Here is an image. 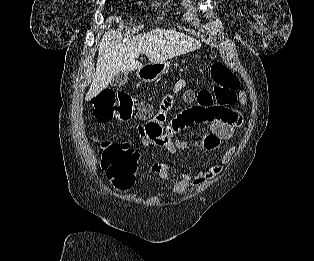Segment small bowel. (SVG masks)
<instances>
[{
  "mask_svg": "<svg viewBox=\"0 0 314 261\" xmlns=\"http://www.w3.org/2000/svg\"><path fill=\"white\" fill-rule=\"evenodd\" d=\"M185 86V81L179 79L171 93L162 100L154 120L138 126L137 131L142 142L147 147L164 148L165 154L170 155L187 148V143L175 140L176 137L181 140L185 131H191L198 124H206L208 132L198 137L193 146L205 151L219 150L223 142L232 139L235 130L242 124L241 114L234 108L237 99L223 105H199L192 109H181V113L172 116V120H167L166 126H163L167 114L174 106L175 97ZM239 102L245 103L244 93L239 95ZM232 155L233 151L227 149L221 155L222 165L213 164L195 173L182 169L175 162L158 160L150 166V173L166 185L170 194H181L191 187L200 188L219 175Z\"/></svg>",
  "mask_w": 314,
  "mask_h": 261,
  "instance_id": "1",
  "label": "small bowel"
}]
</instances>
